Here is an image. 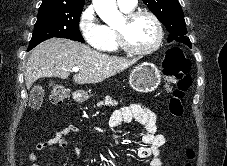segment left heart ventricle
Wrapping results in <instances>:
<instances>
[{
    "instance_id": "obj_1",
    "label": "left heart ventricle",
    "mask_w": 227,
    "mask_h": 166,
    "mask_svg": "<svg viewBox=\"0 0 227 166\" xmlns=\"http://www.w3.org/2000/svg\"><path fill=\"white\" fill-rule=\"evenodd\" d=\"M123 26L126 41L135 48H147L155 40L156 28L147 16H140L123 25L122 19L117 27Z\"/></svg>"
}]
</instances>
